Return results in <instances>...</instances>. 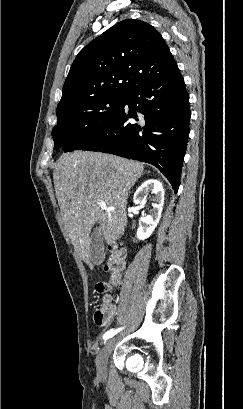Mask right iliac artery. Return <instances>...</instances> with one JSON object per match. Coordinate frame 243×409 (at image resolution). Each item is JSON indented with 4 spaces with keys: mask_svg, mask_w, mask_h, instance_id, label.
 <instances>
[{
    "mask_svg": "<svg viewBox=\"0 0 243 409\" xmlns=\"http://www.w3.org/2000/svg\"><path fill=\"white\" fill-rule=\"evenodd\" d=\"M121 330H122V328H119V329H111V330L107 331V332L104 334V336H103L104 340H107V339L113 337L115 334H117V333H118L119 331H121Z\"/></svg>",
    "mask_w": 243,
    "mask_h": 409,
    "instance_id": "82829eb1",
    "label": "right iliac artery"
}]
</instances>
